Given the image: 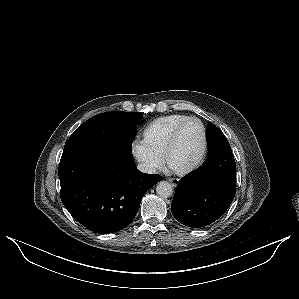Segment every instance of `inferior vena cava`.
Returning a JSON list of instances; mask_svg holds the SVG:
<instances>
[{"label":"inferior vena cava","instance_id":"602c4592","mask_svg":"<svg viewBox=\"0 0 299 299\" xmlns=\"http://www.w3.org/2000/svg\"><path fill=\"white\" fill-rule=\"evenodd\" d=\"M137 169L143 173L152 174L154 169L147 164L141 163L137 165Z\"/></svg>","mask_w":299,"mask_h":299}]
</instances>
